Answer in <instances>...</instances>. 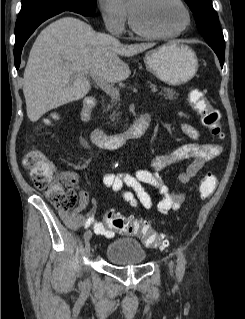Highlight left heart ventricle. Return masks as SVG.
<instances>
[{
  "label": "left heart ventricle",
  "mask_w": 245,
  "mask_h": 319,
  "mask_svg": "<svg viewBox=\"0 0 245 319\" xmlns=\"http://www.w3.org/2000/svg\"><path fill=\"white\" fill-rule=\"evenodd\" d=\"M140 24L154 32L171 33L182 28L186 15L175 0H129Z\"/></svg>",
  "instance_id": "b2bd125f"
}]
</instances>
